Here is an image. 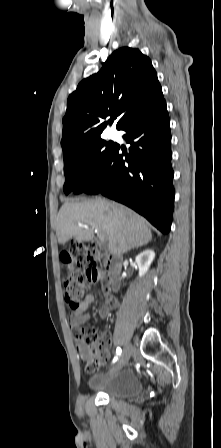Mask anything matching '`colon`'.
I'll use <instances>...</instances> for the list:
<instances>
[{"label": "colon", "mask_w": 221, "mask_h": 448, "mask_svg": "<svg viewBox=\"0 0 221 448\" xmlns=\"http://www.w3.org/2000/svg\"><path fill=\"white\" fill-rule=\"evenodd\" d=\"M60 259L65 272L64 293L66 304L71 309H77L86 296L88 286L102 282L106 278L107 271L102 265L107 262L108 255L100 252L94 245L75 244L68 250L63 251ZM80 338L85 344L93 347L94 353L105 348L109 343L107 336H97L94 327L84 331ZM102 360H106V355L102 356ZM99 366L100 361L94 359L86 365V371H96Z\"/></svg>", "instance_id": "5ec220e1"}]
</instances>
